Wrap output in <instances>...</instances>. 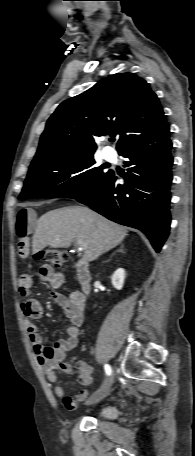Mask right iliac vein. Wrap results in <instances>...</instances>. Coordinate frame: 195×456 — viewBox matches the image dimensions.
Wrapping results in <instances>:
<instances>
[{
	"mask_svg": "<svg viewBox=\"0 0 195 456\" xmlns=\"http://www.w3.org/2000/svg\"><path fill=\"white\" fill-rule=\"evenodd\" d=\"M112 383H113V375H111L104 381L102 387L86 402V404L97 403V402L101 401L102 399H104L106 397V395L108 394Z\"/></svg>",
	"mask_w": 195,
	"mask_h": 456,
	"instance_id": "right-iliac-vein-1",
	"label": "right iliac vein"
}]
</instances>
